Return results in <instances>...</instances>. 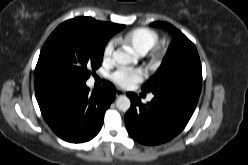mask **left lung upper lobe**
Instances as JSON below:
<instances>
[{"label": "left lung upper lobe", "instance_id": "left-lung-upper-lobe-1", "mask_svg": "<svg viewBox=\"0 0 248 165\" xmlns=\"http://www.w3.org/2000/svg\"><path fill=\"white\" fill-rule=\"evenodd\" d=\"M175 34L158 71L143 86L154 95L198 96L202 87V68L195 45L178 29L166 22H153Z\"/></svg>", "mask_w": 248, "mask_h": 165}]
</instances>
